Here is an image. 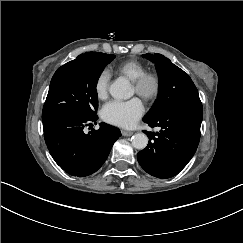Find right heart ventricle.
Wrapping results in <instances>:
<instances>
[{"label":"right heart ventricle","instance_id":"1","mask_svg":"<svg viewBox=\"0 0 243 243\" xmlns=\"http://www.w3.org/2000/svg\"><path fill=\"white\" fill-rule=\"evenodd\" d=\"M115 71L121 75H124L129 80H136L147 68L146 65L137 59H128L115 68Z\"/></svg>","mask_w":243,"mask_h":243}]
</instances>
